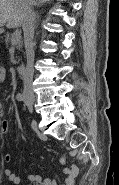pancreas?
I'll return each instance as SVG.
<instances>
[{
  "mask_svg": "<svg viewBox=\"0 0 119 185\" xmlns=\"http://www.w3.org/2000/svg\"><path fill=\"white\" fill-rule=\"evenodd\" d=\"M11 38H12V35H10V34H6L5 35V42L8 44V43H10L11 42ZM17 48L18 49H21L22 48V42H21V40L17 43Z\"/></svg>",
  "mask_w": 119,
  "mask_h": 185,
  "instance_id": "pancreas-1",
  "label": "pancreas"
}]
</instances>
